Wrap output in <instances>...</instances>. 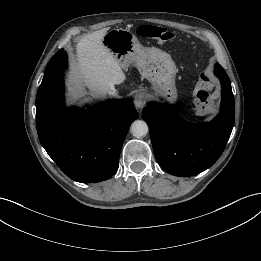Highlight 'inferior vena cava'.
Returning <instances> with one entry per match:
<instances>
[{
  "label": "inferior vena cava",
  "mask_w": 261,
  "mask_h": 261,
  "mask_svg": "<svg viewBox=\"0 0 261 261\" xmlns=\"http://www.w3.org/2000/svg\"><path fill=\"white\" fill-rule=\"evenodd\" d=\"M109 94H111V95H113V96H118V93H117L116 90H111V91L109 92Z\"/></svg>",
  "instance_id": "obj_1"
}]
</instances>
